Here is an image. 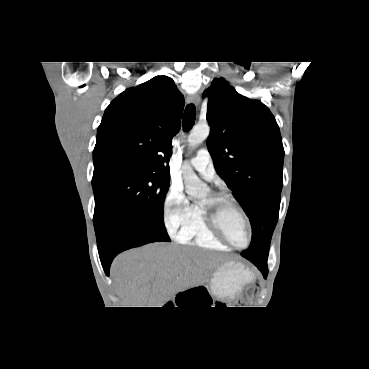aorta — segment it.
I'll return each mask as SVG.
<instances>
[{
    "instance_id": "aorta-1",
    "label": "aorta",
    "mask_w": 369,
    "mask_h": 369,
    "mask_svg": "<svg viewBox=\"0 0 369 369\" xmlns=\"http://www.w3.org/2000/svg\"><path fill=\"white\" fill-rule=\"evenodd\" d=\"M210 128L208 125H196L188 136V144L191 149L197 147L209 136ZM182 175L186 188V193L189 196L200 198L206 195L208 187L194 173L189 164H184L182 167Z\"/></svg>"
}]
</instances>
